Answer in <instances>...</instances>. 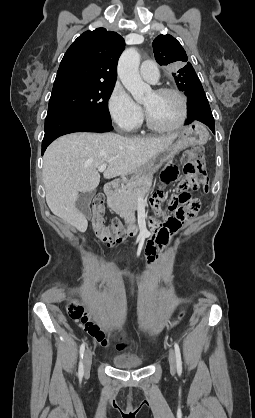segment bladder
Wrapping results in <instances>:
<instances>
[{"mask_svg":"<svg viewBox=\"0 0 255 418\" xmlns=\"http://www.w3.org/2000/svg\"><path fill=\"white\" fill-rule=\"evenodd\" d=\"M111 361L118 368L132 369L141 367L145 363V358L134 354H120L113 356Z\"/></svg>","mask_w":255,"mask_h":418,"instance_id":"obj_1","label":"bladder"}]
</instances>
